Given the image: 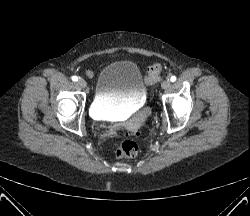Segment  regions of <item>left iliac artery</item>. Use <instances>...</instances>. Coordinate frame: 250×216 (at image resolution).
<instances>
[{
  "mask_svg": "<svg viewBox=\"0 0 250 216\" xmlns=\"http://www.w3.org/2000/svg\"><path fill=\"white\" fill-rule=\"evenodd\" d=\"M170 80H171V82H175V81H176V76H172V77L170 78Z\"/></svg>",
  "mask_w": 250,
  "mask_h": 216,
  "instance_id": "44dca946",
  "label": "left iliac artery"
}]
</instances>
